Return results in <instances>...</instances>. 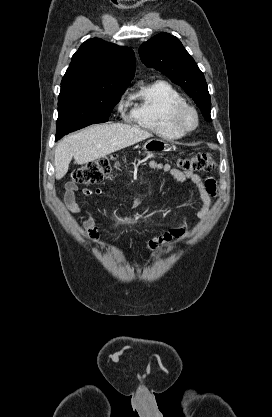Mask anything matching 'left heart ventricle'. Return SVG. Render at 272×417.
<instances>
[{
  "instance_id": "b2bd125f",
  "label": "left heart ventricle",
  "mask_w": 272,
  "mask_h": 417,
  "mask_svg": "<svg viewBox=\"0 0 272 417\" xmlns=\"http://www.w3.org/2000/svg\"><path fill=\"white\" fill-rule=\"evenodd\" d=\"M185 121H186V123L188 125L192 124V117H191V115H187Z\"/></svg>"
}]
</instances>
